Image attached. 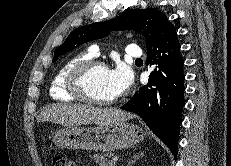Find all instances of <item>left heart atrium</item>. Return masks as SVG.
<instances>
[{"label":"left heart atrium","instance_id":"left-heart-atrium-1","mask_svg":"<svg viewBox=\"0 0 231 166\" xmlns=\"http://www.w3.org/2000/svg\"><path fill=\"white\" fill-rule=\"evenodd\" d=\"M108 76L111 89L116 97L127 92L133 82L130 70L124 65H117L108 70Z\"/></svg>","mask_w":231,"mask_h":166}]
</instances>
